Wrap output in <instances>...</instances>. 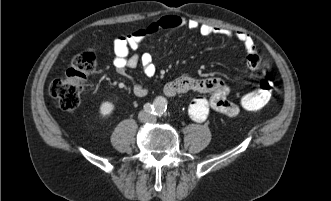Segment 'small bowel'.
I'll return each instance as SVG.
<instances>
[{
  "mask_svg": "<svg viewBox=\"0 0 331 201\" xmlns=\"http://www.w3.org/2000/svg\"><path fill=\"white\" fill-rule=\"evenodd\" d=\"M182 26H186L190 30H195L204 37L221 35L227 38L237 39L243 44L246 50V64L251 71L260 70L265 65L257 52L253 39L247 33L241 31L232 32L220 27L202 24L195 20L184 19L178 15H167L145 27L126 35H119L114 39L113 65L116 71L121 75H125L127 70L135 69L138 65H141L147 76H153L156 73V66L151 54L145 52L139 55L135 51L138 50L147 38L160 31H171ZM189 91L209 94V97L197 96L189 104L188 114L196 122L205 121L211 111H216L227 116H236L241 110L238 102L227 98L230 88L220 78L195 79L187 74H182L177 79L168 82L163 89L164 94L168 97ZM132 92L137 97H144L147 95L148 90L141 83L133 82Z\"/></svg>",
  "mask_w": 331,
  "mask_h": 201,
  "instance_id": "1",
  "label": "small bowel"
}]
</instances>
